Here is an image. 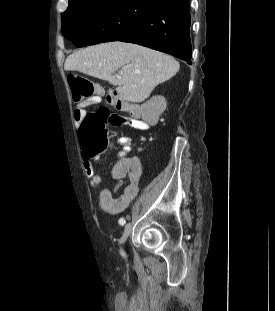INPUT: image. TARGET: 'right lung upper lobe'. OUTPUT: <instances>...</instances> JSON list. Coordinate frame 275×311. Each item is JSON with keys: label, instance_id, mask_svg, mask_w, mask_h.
<instances>
[{"label": "right lung upper lobe", "instance_id": "right-lung-upper-lobe-1", "mask_svg": "<svg viewBox=\"0 0 275 311\" xmlns=\"http://www.w3.org/2000/svg\"><path fill=\"white\" fill-rule=\"evenodd\" d=\"M76 1H83V0H69V3L76 2ZM161 1H164V0H161Z\"/></svg>", "mask_w": 275, "mask_h": 311}]
</instances>
